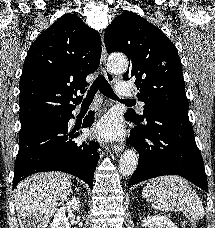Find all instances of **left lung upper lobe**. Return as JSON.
<instances>
[{
  "mask_svg": "<svg viewBox=\"0 0 215 228\" xmlns=\"http://www.w3.org/2000/svg\"><path fill=\"white\" fill-rule=\"evenodd\" d=\"M104 40L108 52L128 57L130 67L123 79L135 78L138 99L145 103L143 115L130 110L125 114L128 120L144 122L153 110H188L177 49L159 28L135 13H124L106 28Z\"/></svg>",
  "mask_w": 215,
  "mask_h": 228,
  "instance_id": "5c2ea615",
  "label": "left lung upper lobe"
}]
</instances>
